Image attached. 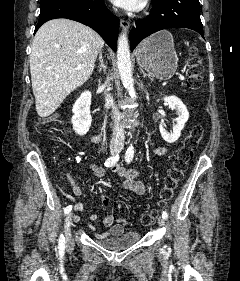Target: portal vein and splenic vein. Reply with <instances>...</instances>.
<instances>
[{"instance_id":"portal-vein-and-splenic-vein-1","label":"portal vein and splenic vein","mask_w":240,"mask_h":281,"mask_svg":"<svg viewBox=\"0 0 240 281\" xmlns=\"http://www.w3.org/2000/svg\"><path fill=\"white\" fill-rule=\"evenodd\" d=\"M81 69H82V66H78V67H77V70H81ZM178 79H179V80H183L184 77H183V76H179Z\"/></svg>"}]
</instances>
